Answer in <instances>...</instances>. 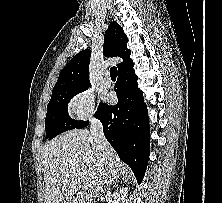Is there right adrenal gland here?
<instances>
[{
  "label": "right adrenal gland",
  "mask_w": 222,
  "mask_h": 203,
  "mask_svg": "<svg viewBox=\"0 0 222 203\" xmlns=\"http://www.w3.org/2000/svg\"><path fill=\"white\" fill-rule=\"evenodd\" d=\"M122 180L126 181V176H123ZM118 183V180L116 179L114 182H113V188H115L116 184Z\"/></svg>",
  "instance_id": "2a0ac1e0"
}]
</instances>
